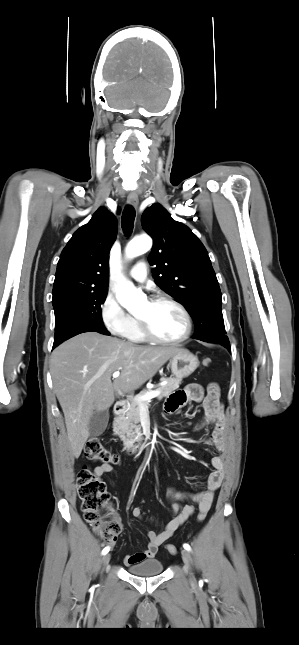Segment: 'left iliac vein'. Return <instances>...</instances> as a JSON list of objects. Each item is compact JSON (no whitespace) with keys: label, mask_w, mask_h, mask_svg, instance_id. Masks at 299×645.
<instances>
[{"label":"left iliac vein","mask_w":299,"mask_h":645,"mask_svg":"<svg viewBox=\"0 0 299 645\" xmlns=\"http://www.w3.org/2000/svg\"><path fill=\"white\" fill-rule=\"evenodd\" d=\"M181 555H182V560L185 564V570L189 575L191 582H195V577L193 575L192 568H191L192 559H191L190 553L187 550H182Z\"/></svg>","instance_id":"left-iliac-vein-1"}]
</instances>
